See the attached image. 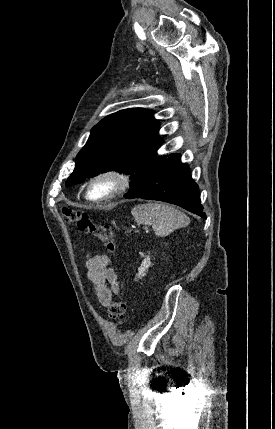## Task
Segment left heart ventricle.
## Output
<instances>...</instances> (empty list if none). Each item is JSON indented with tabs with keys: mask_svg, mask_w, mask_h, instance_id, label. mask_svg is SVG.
I'll return each instance as SVG.
<instances>
[{
	"mask_svg": "<svg viewBox=\"0 0 275 429\" xmlns=\"http://www.w3.org/2000/svg\"><path fill=\"white\" fill-rule=\"evenodd\" d=\"M113 183L109 179H101L95 182L91 188V196L99 198L106 195L112 188Z\"/></svg>",
	"mask_w": 275,
	"mask_h": 429,
	"instance_id": "obj_1",
	"label": "left heart ventricle"
}]
</instances>
